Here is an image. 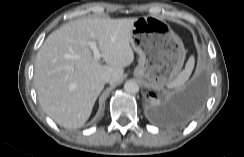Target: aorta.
<instances>
[{
	"label": "aorta",
	"instance_id": "obj_1",
	"mask_svg": "<svg viewBox=\"0 0 244 157\" xmlns=\"http://www.w3.org/2000/svg\"><path fill=\"white\" fill-rule=\"evenodd\" d=\"M124 90L129 94H136L139 91V86L135 81L129 80L125 82Z\"/></svg>",
	"mask_w": 244,
	"mask_h": 157
}]
</instances>
